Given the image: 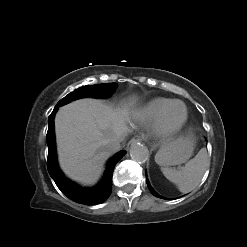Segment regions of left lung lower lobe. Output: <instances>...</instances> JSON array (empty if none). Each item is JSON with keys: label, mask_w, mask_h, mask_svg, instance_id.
<instances>
[{"label": "left lung lower lobe", "mask_w": 247, "mask_h": 247, "mask_svg": "<svg viewBox=\"0 0 247 247\" xmlns=\"http://www.w3.org/2000/svg\"><path fill=\"white\" fill-rule=\"evenodd\" d=\"M146 183L148 184V188H149L150 192H151L154 196H156V197H158V198L166 199V198L160 196V195H159V194L151 187V185H150V183H149V180H148V178H147V174H146Z\"/></svg>", "instance_id": "1"}]
</instances>
